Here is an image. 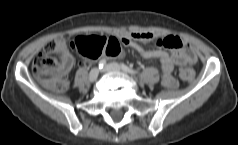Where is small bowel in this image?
Here are the masks:
<instances>
[{
	"instance_id": "1",
	"label": "small bowel",
	"mask_w": 238,
	"mask_h": 145,
	"mask_svg": "<svg viewBox=\"0 0 238 145\" xmlns=\"http://www.w3.org/2000/svg\"><path fill=\"white\" fill-rule=\"evenodd\" d=\"M113 35L119 39L123 46L135 49L142 57L158 60L162 68V85L167 89H173L177 86V80L173 76V70L176 66H180L182 69L188 68L192 70L188 66L196 61V56L191 45L174 35L132 32L122 28L117 29ZM151 42H155L158 46L171 49L173 53L169 54L162 49H144L139 44ZM59 56L61 63L58 71L62 75H65L72 68L74 58L63 45H60Z\"/></svg>"
}]
</instances>
